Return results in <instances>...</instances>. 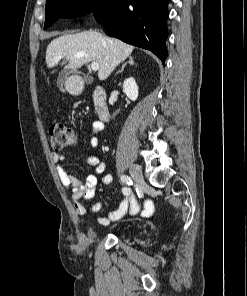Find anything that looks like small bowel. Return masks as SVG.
<instances>
[{
	"mask_svg": "<svg viewBox=\"0 0 247 296\" xmlns=\"http://www.w3.org/2000/svg\"><path fill=\"white\" fill-rule=\"evenodd\" d=\"M103 130V123L100 121H93L89 127V133L92 135L90 138V145L93 148L100 146V141L96 135L100 134ZM52 160L56 164L57 173L59 179L64 187L69 188L72 192L73 205L76 212L79 215L93 214L100 211L103 208L101 202L92 204L91 201L94 198L96 187L98 184V176L102 175L105 170V165L102 162L100 156L93 155L84 157L81 162L87 166L93 168L94 172L85 177L83 181L78 180L64 166L65 156L53 153ZM113 182V176L111 174H105L102 176L101 183L103 185H110ZM122 200L118 207L114 211H110L107 215L98 217L97 222L100 225H108L111 221H116L122 218L127 212L135 214L139 205L136 195L129 187L122 189ZM150 213V205L146 204L144 214Z\"/></svg>",
	"mask_w": 247,
	"mask_h": 296,
	"instance_id": "c3829d8e",
	"label": "small bowel"
}]
</instances>
